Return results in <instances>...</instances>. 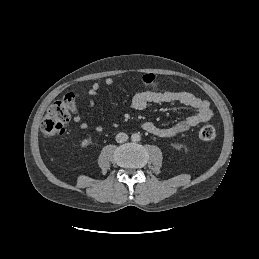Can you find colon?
Segmentation results:
<instances>
[{
	"instance_id": "obj_1",
	"label": "colon",
	"mask_w": 259,
	"mask_h": 259,
	"mask_svg": "<svg viewBox=\"0 0 259 259\" xmlns=\"http://www.w3.org/2000/svg\"><path fill=\"white\" fill-rule=\"evenodd\" d=\"M142 83L146 89H157L159 87V82L153 75H145ZM76 110L77 95L74 93H68L61 100L51 104L41 123L42 133L50 139L62 136L66 131L67 123ZM215 136V129L211 125H205L198 131L199 139L204 142L214 140Z\"/></svg>"
}]
</instances>
